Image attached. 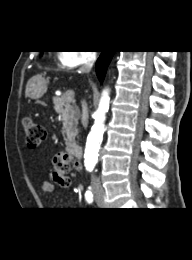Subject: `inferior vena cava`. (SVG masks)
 <instances>
[{
    "label": "inferior vena cava",
    "mask_w": 192,
    "mask_h": 260,
    "mask_svg": "<svg viewBox=\"0 0 192 260\" xmlns=\"http://www.w3.org/2000/svg\"><path fill=\"white\" fill-rule=\"evenodd\" d=\"M95 60H96V53L94 51H91L90 54L86 57L80 70L85 73L90 72ZM82 109H83L82 124L86 128L88 125V120H87V115L84 114V111L87 109V104L85 101H82ZM92 185H93L94 189H101V182H100L99 178L94 175L92 176Z\"/></svg>",
    "instance_id": "1"
}]
</instances>
